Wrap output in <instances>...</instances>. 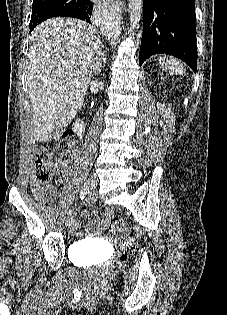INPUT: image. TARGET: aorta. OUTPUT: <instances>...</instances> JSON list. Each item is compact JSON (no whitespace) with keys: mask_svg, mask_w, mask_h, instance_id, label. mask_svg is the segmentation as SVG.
Segmentation results:
<instances>
[{"mask_svg":"<svg viewBox=\"0 0 227 315\" xmlns=\"http://www.w3.org/2000/svg\"><path fill=\"white\" fill-rule=\"evenodd\" d=\"M130 24L132 27H138L142 15L143 0H128ZM106 33L111 37L118 36V30L114 24L108 23L105 29Z\"/></svg>","mask_w":227,"mask_h":315,"instance_id":"aorta-1","label":"aorta"}]
</instances>
